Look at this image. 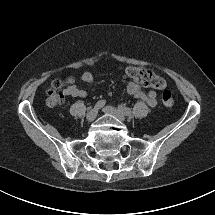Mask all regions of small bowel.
Masks as SVG:
<instances>
[{"label": "small bowel", "mask_w": 215, "mask_h": 215, "mask_svg": "<svg viewBox=\"0 0 215 215\" xmlns=\"http://www.w3.org/2000/svg\"><path fill=\"white\" fill-rule=\"evenodd\" d=\"M80 80L84 83L91 84L94 81L92 73L86 71L80 76ZM127 92L133 97L144 101L150 107L157 105V94L155 91L143 92L142 88L135 82H129L127 85ZM65 96L83 98L87 95L86 91L81 89L78 85L72 84L67 86L63 91Z\"/></svg>", "instance_id": "c3829d8e"}]
</instances>
